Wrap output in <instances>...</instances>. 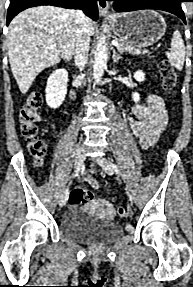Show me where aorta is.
Returning a JSON list of instances; mask_svg holds the SVG:
<instances>
[{
    "mask_svg": "<svg viewBox=\"0 0 193 287\" xmlns=\"http://www.w3.org/2000/svg\"><path fill=\"white\" fill-rule=\"evenodd\" d=\"M107 60H108V46L106 43L105 36L101 35L98 38L96 44L94 62H93V76L95 84H99L101 82L104 70L107 66Z\"/></svg>",
    "mask_w": 193,
    "mask_h": 287,
    "instance_id": "762f6f07",
    "label": "aorta"
}]
</instances>
